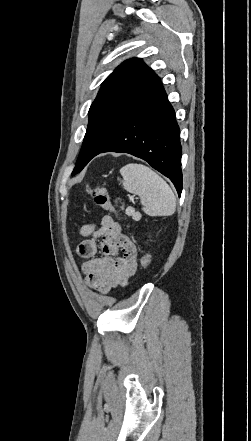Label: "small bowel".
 I'll return each mask as SVG.
<instances>
[{"mask_svg": "<svg viewBox=\"0 0 251 441\" xmlns=\"http://www.w3.org/2000/svg\"><path fill=\"white\" fill-rule=\"evenodd\" d=\"M79 233L84 239L79 243L77 253L85 259L81 270L87 286L108 293L127 285L136 270L137 247L122 233L120 224L105 215L99 227L86 224ZM99 248L103 256H97Z\"/></svg>", "mask_w": 251, "mask_h": 441, "instance_id": "small-bowel-1", "label": "small bowel"}]
</instances>
